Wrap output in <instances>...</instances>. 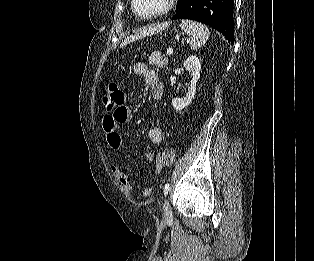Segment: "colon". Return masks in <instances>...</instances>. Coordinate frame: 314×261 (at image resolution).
Here are the masks:
<instances>
[{"label": "colon", "instance_id": "5ec220e1", "mask_svg": "<svg viewBox=\"0 0 314 261\" xmlns=\"http://www.w3.org/2000/svg\"><path fill=\"white\" fill-rule=\"evenodd\" d=\"M102 105L107 112L108 109H117L123 104L124 95L123 91L114 82H106L103 87ZM174 151L171 149H165L159 155V162L162 165L168 166L173 162Z\"/></svg>", "mask_w": 314, "mask_h": 261}]
</instances>
